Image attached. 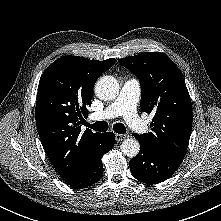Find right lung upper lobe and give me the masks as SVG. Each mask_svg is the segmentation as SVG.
I'll use <instances>...</instances> for the list:
<instances>
[{
	"mask_svg": "<svg viewBox=\"0 0 221 221\" xmlns=\"http://www.w3.org/2000/svg\"><path fill=\"white\" fill-rule=\"evenodd\" d=\"M115 59L63 56L43 73L37 93L36 124L44 150L65 182L81 174L101 133L81 131L93 86Z\"/></svg>",
	"mask_w": 221,
	"mask_h": 221,
	"instance_id": "obj_1",
	"label": "right lung upper lobe"
}]
</instances>
